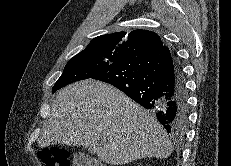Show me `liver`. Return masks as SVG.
<instances>
[{"label": "liver", "mask_w": 231, "mask_h": 166, "mask_svg": "<svg viewBox=\"0 0 231 166\" xmlns=\"http://www.w3.org/2000/svg\"><path fill=\"white\" fill-rule=\"evenodd\" d=\"M37 143L82 146L111 165L145 157L164 159L173 151L154 115L115 87L92 79L58 92Z\"/></svg>", "instance_id": "liver-1"}]
</instances>
